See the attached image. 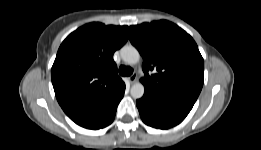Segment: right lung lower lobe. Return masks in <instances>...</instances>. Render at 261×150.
I'll list each match as a JSON object with an SVG mask.
<instances>
[{
  "mask_svg": "<svg viewBox=\"0 0 261 150\" xmlns=\"http://www.w3.org/2000/svg\"><path fill=\"white\" fill-rule=\"evenodd\" d=\"M121 99H119L117 102H115L113 105H111L106 111H104L102 114H100L96 118H94L80 126L87 128V129H100V128L108 126L114 120V117L116 114V109H117V106Z\"/></svg>",
  "mask_w": 261,
  "mask_h": 150,
  "instance_id": "98d812e1",
  "label": "right lung lower lobe"
}]
</instances>
